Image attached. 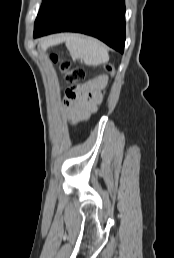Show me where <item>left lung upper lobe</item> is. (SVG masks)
<instances>
[{"label": "left lung upper lobe", "instance_id": "obj_1", "mask_svg": "<svg viewBox=\"0 0 174 258\" xmlns=\"http://www.w3.org/2000/svg\"><path fill=\"white\" fill-rule=\"evenodd\" d=\"M56 2L57 0H43L34 24V30L42 23V21L45 19V17L47 16V14Z\"/></svg>", "mask_w": 174, "mask_h": 258}]
</instances>
